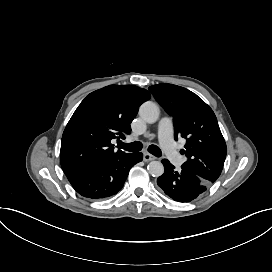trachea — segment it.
I'll return each mask as SVG.
<instances>
[{
	"label": "trachea",
	"instance_id": "trachea-1",
	"mask_svg": "<svg viewBox=\"0 0 272 272\" xmlns=\"http://www.w3.org/2000/svg\"><path fill=\"white\" fill-rule=\"evenodd\" d=\"M118 148L127 150L129 152H138L142 149V143L138 141L132 143H123L120 141L118 142ZM148 151L154 156L157 157L161 156V150L156 145H150L148 147Z\"/></svg>",
	"mask_w": 272,
	"mask_h": 272
}]
</instances>
